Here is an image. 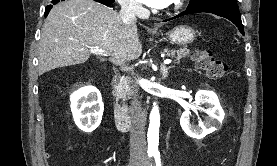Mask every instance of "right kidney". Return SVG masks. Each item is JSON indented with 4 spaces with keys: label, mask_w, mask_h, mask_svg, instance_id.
<instances>
[{
    "label": "right kidney",
    "mask_w": 277,
    "mask_h": 166,
    "mask_svg": "<svg viewBox=\"0 0 277 166\" xmlns=\"http://www.w3.org/2000/svg\"><path fill=\"white\" fill-rule=\"evenodd\" d=\"M71 111L75 124L84 132L94 131L101 122L104 104L99 90L83 87L70 96Z\"/></svg>",
    "instance_id": "obj_1"
}]
</instances>
